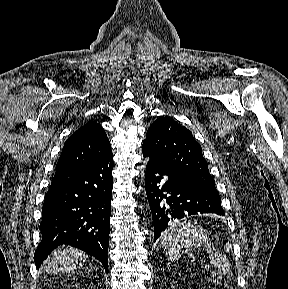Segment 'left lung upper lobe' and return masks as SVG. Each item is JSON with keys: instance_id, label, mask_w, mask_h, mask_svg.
<instances>
[{"instance_id": "left-lung-upper-lobe-1", "label": "left lung upper lobe", "mask_w": 288, "mask_h": 289, "mask_svg": "<svg viewBox=\"0 0 288 289\" xmlns=\"http://www.w3.org/2000/svg\"><path fill=\"white\" fill-rule=\"evenodd\" d=\"M143 145L170 170L216 189L202 148L192 133L171 118L160 117L148 129Z\"/></svg>"}]
</instances>
